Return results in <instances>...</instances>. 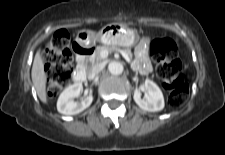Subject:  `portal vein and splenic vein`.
<instances>
[{"mask_svg":"<svg viewBox=\"0 0 225 155\" xmlns=\"http://www.w3.org/2000/svg\"><path fill=\"white\" fill-rule=\"evenodd\" d=\"M119 52L121 53V55L125 58V60L127 62H130L129 56L124 51L119 50ZM108 53H109V51H103V52H101V57L102 58H106L108 56Z\"/></svg>","mask_w":225,"mask_h":155,"instance_id":"1","label":"portal vein and splenic vein"}]
</instances>
